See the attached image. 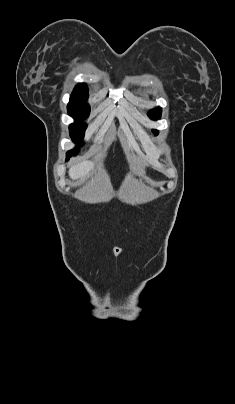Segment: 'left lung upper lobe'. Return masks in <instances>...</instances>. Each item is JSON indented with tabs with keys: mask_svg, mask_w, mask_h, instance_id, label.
Instances as JSON below:
<instances>
[{
	"mask_svg": "<svg viewBox=\"0 0 235 404\" xmlns=\"http://www.w3.org/2000/svg\"><path fill=\"white\" fill-rule=\"evenodd\" d=\"M148 116L153 120H158L161 117V108H155L149 111ZM155 135L158 134L157 130H153Z\"/></svg>",
	"mask_w": 235,
	"mask_h": 404,
	"instance_id": "left-lung-upper-lobe-1",
	"label": "left lung upper lobe"
}]
</instances>
